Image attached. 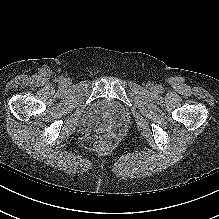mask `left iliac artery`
Segmentation results:
<instances>
[{"mask_svg": "<svg viewBox=\"0 0 219 219\" xmlns=\"http://www.w3.org/2000/svg\"><path fill=\"white\" fill-rule=\"evenodd\" d=\"M159 90H162V87H161V86L159 87Z\"/></svg>", "mask_w": 219, "mask_h": 219, "instance_id": "1", "label": "left iliac artery"}]
</instances>
